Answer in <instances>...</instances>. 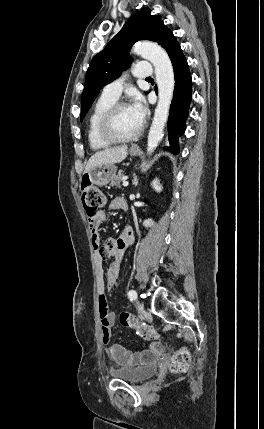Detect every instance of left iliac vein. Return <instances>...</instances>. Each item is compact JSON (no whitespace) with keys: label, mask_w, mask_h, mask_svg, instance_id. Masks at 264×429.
I'll list each match as a JSON object with an SVG mask.
<instances>
[{"label":"left iliac vein","mask_w":264,"mask_h":429,"mask_svg":"<svg viewBox=\"0 0 264 429\" xmlns=\"http://www.w3.org/2000/svg\"><path fill=\"white\" fill-rule=\"evenodd\" d=\"M136 305H137V308H138L139 311L143 310L144 306H143V304L141 302L137 301Z\"/></svg>","instance_id":"1"}]
</instances>
